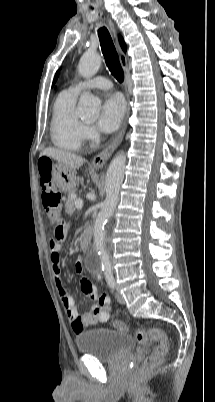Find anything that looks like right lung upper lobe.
Returning a JSON list of instances; mask_svg holds the SVG:
<instances>
[{"mask_svg": "<svg viewBox=\"0 0 215 402\" xmlns=\"http://www.w3.org/2000/svg\"><path fill=\"white\" fill-rule=\"evenodd\" d=\"M119 41H120V44H121V47H122L123 51L125 52L126 51V46H125V43H124L122 37L119 38ZM58 75H59V71H57L53 83H55Z\"/></svg>", "mask_w": 215, "mask_h": 402, "instance_id": "right-lung-upper-lobe-1", "label": "right lung upper lobe"}]
</instances>
